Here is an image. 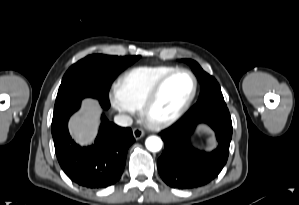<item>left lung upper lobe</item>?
Instances as JSON below:
<instances>
[{
  "mask_svg": "<svg viewBox=\"0 0 299 205\" xmlns=\"http://www.w3.org/2000/svg\"><path fill=\"white\" fill-rule=\"evenodd\" d=\"M183 61L192 67L201 84L199 99L190 111L200 112L210 107L226 106L221 89L215 78L203 71L197 62L190 59H184Z\"/></svg>",
  "mask_w": 299,
  "mask_h": 205,
  "instance_id": "1",
  "label": "left lung upper lobe"
}]
</instances>
